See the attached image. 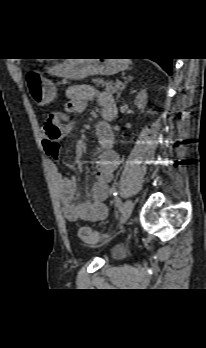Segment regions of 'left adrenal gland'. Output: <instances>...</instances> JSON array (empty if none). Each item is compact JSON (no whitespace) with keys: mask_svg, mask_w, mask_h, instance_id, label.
Wrapping results in <instances>:
<instances>
[{"mask_svg":"<svg viewBox=\"0 0 206 348\" xmlns=\"http://www.w3.org/2000/svg\"><path fill=\"white\" fill-rule=\"evenodd\" d=\"M132 79H133L132 76H128V77L125 78V82H124V84L122 85V87L120 88V91H119V93H118V95H117V100L120 98V95H121L123 89L125 88V86L127 85V83H128L129 81H131Z\"/></svg>","mask_w":206,"mask_h":348,"instance_id":"1","label":"left adrenal gland"}]
</instances>
